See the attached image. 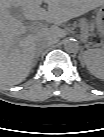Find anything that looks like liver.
Returning a JSON list of instances; mask_svg holds the SVG:
<instances>
[{
	"instance_id": "liver-1",
	"label": "liver",
	"mask_w": 104,
	"mask_h": 137,
	"mask_svg": "<svg viewBox=\"0 0 104 137\" xmlns=\"http://www.w3.org/2000/svg\"><path fill=\"white\" fill-rule=\"evenodd\" d=\"M41 0H1L0 80L5 85L20 83L29 73L36 58V46L49 35L58 37L56 28L31 30L11 14L14 5L32 20L60 23L93 9L103 0H45L47 10L40 7Z\"/></svg>"
}]
</instances>
